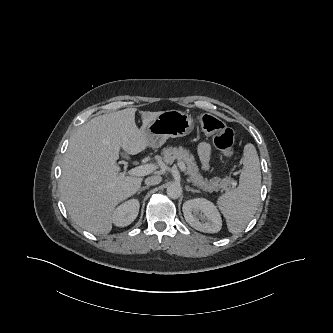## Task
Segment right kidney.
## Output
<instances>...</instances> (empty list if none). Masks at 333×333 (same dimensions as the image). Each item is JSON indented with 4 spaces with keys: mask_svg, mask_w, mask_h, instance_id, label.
I'll list each match as a JSON object with an SVG mask.
<instances>
[{
    "mask_svg": "<svg viewBox=\"0 0 333 333\" xmlns=\"http://www.w3.org/2000/svg\"><path fill=\"white\" fill-rule=\"evenodd\" d=\"M139 201L137 199H130L119 205L113 212V223L118 227H125L130 225L139 213Z\"/></svg>",
    "mask_w": 333,
    "mask_h": 333,
    "instance_id": "right-kidney-1",
    "label": "right kidney"
}]
</instances>
